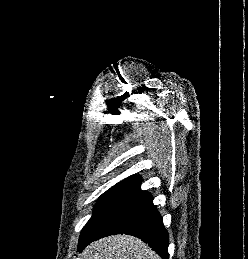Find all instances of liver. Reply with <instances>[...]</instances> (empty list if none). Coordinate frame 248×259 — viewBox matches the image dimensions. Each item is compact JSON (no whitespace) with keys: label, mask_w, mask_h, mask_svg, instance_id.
Masks as SVG:
<instances>
[{"label":"liver","mask_w":248,"mask_h":259,"mask_svg":"<svg viewBox=\"0 0 248 259\" xmlns=\"http://www.w3.org/2000/svg\"><path fill=\"white\" fill-rule=\"evenodd\" d=\"M82 259H161L147 244L128 235H113L87 246Z\"/></svg>","instance_id":"6515ba94"}]
</instances>
